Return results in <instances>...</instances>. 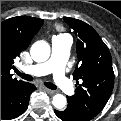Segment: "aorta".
I'll list each match as a JSON object with an SVG mask.
<instances>
[{"label":"aorta","instance_id":"762f6f07","mask_svg":"<svg viewBox=\"0 0 121 121\" xmlns=\"http://www.w3.org/2000/svg\"><path fill=\"white\" fill-rule=\"evenodd\" d=\"M30 54L35 62H45L50 57V46L46 41H36L30 49ZM67 99L62 94L53 96L52 104L57 109H63L66 106Z\"/></svg>","mask_w":121,"mask_h":121}]
</instances>
